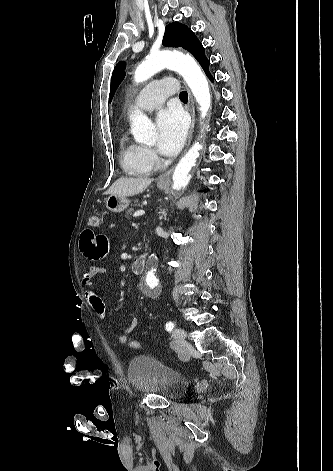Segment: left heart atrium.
<instances>
[{
	"label": "left heart atrium",
	"mask_w": 333,
	"mask_h": 471,
	"mask_svg": "<svg viewBox=\"0 0 333 471\" xmlns=\"http://www.w3.org/2000/svg\"><path fill=\"white\" fill-rule=\"evenodd\" d=\"M158 151L166 156H173L181 149L186 135L188 122L185 115L177 109L159 112L156 119Z\"/></svg>",
	"instance_id": "1"
}]
</instances>
